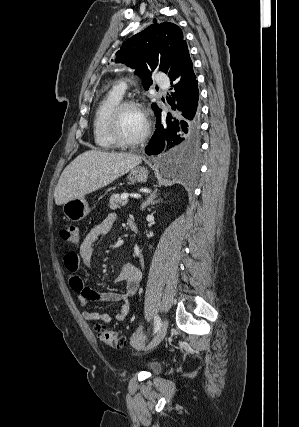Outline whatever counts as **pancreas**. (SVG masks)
<instances>
[{"label": "pancreas", "mask_w": 299, "mask_h": 427, "mask_svg": "<svg viewBox=\"0 0 299 427\" xmlns=\"http://www.w3.org/2000/svg\"><path fill=\"white\" fill-rule=\"evenodd\" d=\"M126 204H127V200L121 199V197L118 194H113L110 197L109 208L112 210H116V209H118L121 206H124Z\"/></svg>", "instance_id": "obj_1"}]
</instances>
